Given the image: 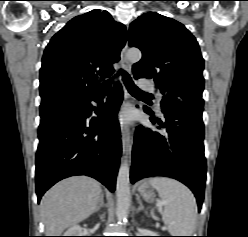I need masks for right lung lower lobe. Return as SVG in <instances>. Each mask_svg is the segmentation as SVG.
<instances>
[{"label": "right lung lower lobe", "instance_id": "1", "mask_svg": "<svg viewBox=\"0 0 248 237\" xmlns=\"http://www.w3.org/2000/svg\"><path fill=\"white\" fill-rule=\"evenodd\" d=\"M100 91L82 99L40 105L39 145L36 154V193L38 202L56 182L74 175H87L115 190L122 152L120 128L116 119L123 99L119 83L106 103L99 102ZM95 110L97 117L87 118Z\"/></svg>", "mask_w": 248, "mask_h": 237}]
</instances>
